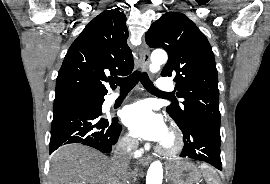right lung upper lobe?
Segmentation results:
<instances>
[{"label":"right lung upper lobe","instance_id":"cb5924a9","mask_svg":"<svg viewBox=\"0 0 270 184\" xmlns=\"http://www.w3.org/2000/svg\"><path fill=\"white\" fill-rule=\"evenodd\" d=\"M126 16L119 9L96 16L72 43L56 79L55 98L106 95L104 83L129 75L134 63L127 45ZM112 88L114 84L110 82Z\"/></svg>","mask_w":270,"mask_h":184}]
</instances>
